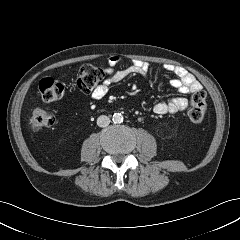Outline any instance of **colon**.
Instances as JSON below:
<instances>
[{"label": "colon", "mask_w": 240, "mask_h": 240, "mask_svg": "<svg viewBox=\"0 0 240 240\" xmlns=\"http://www.w3.org/2000/svg\"><path fill=\"white\" fill-rule=\"evenodd\" d=\"M103 79V71L98 67L85 64L78 70L74 83L75 89L81 92H90L95 89ZM39 91L43 101L52 102L60 99L65 93L63 83L53 78H43L39 84ZM206 113V93L202 90L195 92L191 98L189 119L194 124L204 120ZM54 124L53 115L44 108L36 107L30 117V127L34 131H41L52 127Z\"/></svg>", "instance_id": "colon-1"}]
</instances>
